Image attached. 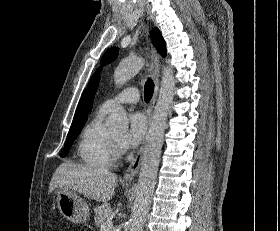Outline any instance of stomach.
<instances>
[{"label":"stomach","mask_w":280,"mask_h":231,"mask_svg":"<svg viewBox=\"0 0 280 231\" xmlns=\"http://www.w3.org/2000/svg\"><path fill=\"white\" fill-rule=\"evenodd\" d=\"M57 205L64 217L73 223H85L89 219L90 211L86 201L71 189H55Z\"/></svg>","instance_id":"obj_1"}]
</instances>
